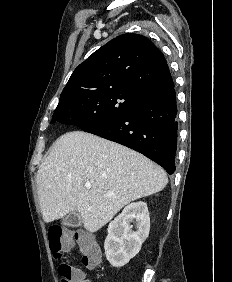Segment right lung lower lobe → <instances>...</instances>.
I'll list each match as a JSON object with an SVG mask.
<instances>
[{"label": "right lung lower lobe", "instance_id": "obj_1", "mask_svg": "<svg viewBox=\"0 0 232 282\" xmlns=\"http://www.w3.org/2000/svg\"><path fill=\"white\" fill-rule=\"evenodd\" d=\"M177 105L174 84L145 97L132 111L83 131L138 151L173 174L177 148Z\"/></svg>", "mask_w": 232, "mask_h": 282}]
</instances>
